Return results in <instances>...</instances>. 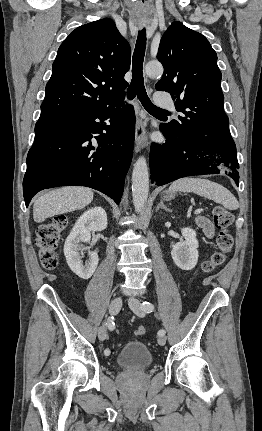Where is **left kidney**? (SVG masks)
<instances>
[{"instance_id":"obj_1","label":"left kidney","mask_w":262,"mask_h":431,"mask_svg":"<svg viewBox=\"0 0 262 431\" xmlns=\"http://www.w3.org/2000/svg\"><path fill=\"white\" fill-rule=\"evenodd\" d=\"M184 241L176 243L171 251V256L175 264L182 270L193 269L198 262V240L196 232L191 228H182Z\"/></svg>"}]
</instances>
